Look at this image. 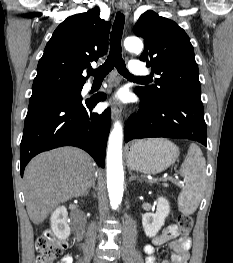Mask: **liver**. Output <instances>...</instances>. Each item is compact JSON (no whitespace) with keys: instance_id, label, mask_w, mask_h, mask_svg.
Here are the masks:
<instances>
[{"instance_id":"6515ba94","label":"liver","mask_w":233,"mask_h":263,"mask_svg":"<svg viewBox=\"0 0 233 263\" xmlns=\"http://www.w3.org/2000/svg\"><path fill=\"white\" fill-rule=\"evenodd\" d=\"M95 164L83 150L62 147L39 154L24 172L26 209L34 224L42 223L60 203L86 194Z\"/></svg>"}]
</instances>
